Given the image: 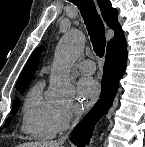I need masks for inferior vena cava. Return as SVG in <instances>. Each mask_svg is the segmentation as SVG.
I'll return each instance as SVG.
<instances>
[{
    "label": "inferior vena cava",
    "mask_w": 145,
    "mask_h": 147,
    "mask_svg": "<svg viewBox=\"0 0 145 147\" xmlns=\"http://www.w3.org/2000/svg\"><path fill=\"white\" fill-rule=\"evenodd\" d=\"M78 112H77V118H78ZM68 138V134L67 135H65V136H63V137H61L60 139H59V141H58V143L59 144H63V142L66 140Z\"/></svg>",
    "instance_id": "obj_1"
}]
</instances>
